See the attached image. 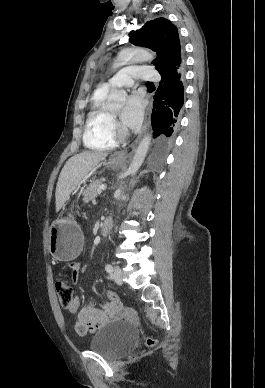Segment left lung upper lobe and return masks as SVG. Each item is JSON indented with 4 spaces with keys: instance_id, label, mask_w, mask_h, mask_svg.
I'll return each instance as SVG.
<instances>
[{
    "instance_id": "left-lung-upper-lobe-1",
    "label": "left lung upper lobe",
    "mask_w": 265,
    "mask_h": 388,
    "mask_svg": "<svg viewBox=\"0 0 265 388\" xmlns=\"http://www.w3.org/2000/svg\"><path fill=\"white\" fill-rule=\"evenodd\" d=\"M129 42L157 52L153 64L160 75L184 64L177 27L165 18L148 21L132 34Z\"/></svg>"
}]
</instances>
